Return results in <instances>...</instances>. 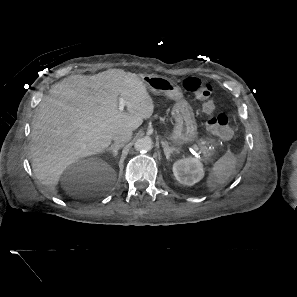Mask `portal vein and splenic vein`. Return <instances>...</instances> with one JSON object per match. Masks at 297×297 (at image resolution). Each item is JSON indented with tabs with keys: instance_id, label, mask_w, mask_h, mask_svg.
Returning a JSON list of instances; mask_svg holds the SVG:
<instances>
[{
	"instance_id": "portal-vein-and-splenic-vein-1",
	"label": "portal vein and splenic vein",
	"mask_w": 297,
	"mask_h": 297,
	"mask_svg": "<svg viewBox=\"0 0 297 297\" xmlns=\"http://www.w3.org/2000/svg\"><path fill=\"white\" fill-rule=\"evenodd\" d=\"M126 105V101L123 98H119V110L122 112ZM193 149L199 152V148L196 145H193Z\"/></svg>"
}]
</instances>
